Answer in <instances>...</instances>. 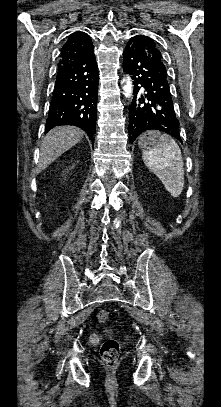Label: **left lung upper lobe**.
Instances as JSON below:
<instances>
[{"mask_svg": "<svg viewBox=\"0 0 221 407\" xmlns=\"http://www.w3.org/2000/svg\"><path fill=\"white\" fill-rule=\"evenodd\" d=\"M137 37L140 40V42L146 46V49H147L148 54L151 57V59L154 60L157 64H159L165 68V66L163 64V58H162L161 52L157 48L155 42L151 38L144 36V35H137Z\"/></svg>", "mask_w": 221, "mask_h": 407, "instance_id": "left-lung-upper-lobe-1", "label": "left lung upper lobe"}]
</instances>
